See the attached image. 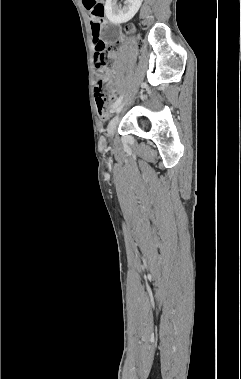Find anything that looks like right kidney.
<instances>
[{
  "label": "right kidney",
  "instance_id": "right-kidney-1",
  "mask_svg": "<svg viewBox=\"0 0 241 379\" xmlns=\"http://www.w3.org/2000/svg\"><path fill=\"white\" fill-rule=\"evenodd\" d=\"M143 0H126L121 8L116 0H106L105 13L108 20L115 25L126 23L138 12Z\"/></svg>",
  "mask_w": 241,
  "mask_h": 379
}]
</instances>
